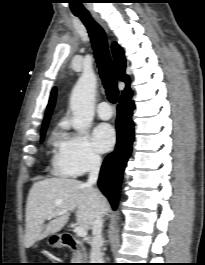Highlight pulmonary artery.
<instances>
[{
    "label": "pulmonary artery",
    "instance_id": "e3ab8cb5",
    "mask_svg": "<svg viewBox=\"0 0 205 265\" xmlns=\"http://www.w3.org/2000/svg\"><path fill=\"white\" fill-rule=\"evenodd\" d=\"M97 114L101 119H110L112 117L111 106L105 101L100 102L97 106Z\"/></svg>",
    "mask_w": 205,
    "mask_h": 265
}]
</instances>
